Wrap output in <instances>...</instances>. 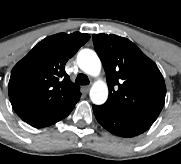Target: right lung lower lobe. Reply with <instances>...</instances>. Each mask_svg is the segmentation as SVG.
I'll use <instances>...</instances> for the list:
<instances>
[{
  "label": "right lung lower lobe",
  "mask_w": 181,
  "mask_h": 164,
  "mask_svg": "<svg viewBox=\"0 0 181 164\" xmlns=\"http://www.w3.org/2000/svg\"><path fill=\"white\" fill-rule=\"evenodd\" d=\"M31 126L33 127H36V128H41V127H47L49 125H44V124H30Z\"/></svg>",
  "instance_id": "right-lung-lower-lobe-1"
}]
</instances>
